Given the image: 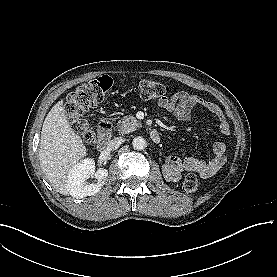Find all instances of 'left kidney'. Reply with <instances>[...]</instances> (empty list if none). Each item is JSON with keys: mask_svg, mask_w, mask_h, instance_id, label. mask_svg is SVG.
Here are the masks:
<instances>
[{"mask_svg": "<svg viewBox=\"0 0 277 277\" xmlns=\"http://www.w3.org/2000/svg\"><path fill=\"white\" fill-rule=\"evenodd\" d=\"M163 172L166 176H171L173 179L175 178L174 176H178L181 173L180 169L173 166L164 167Z\"/></svg>", "mask_w": 277, "mask_h": 277, "instance_id": "obj_1", "label": "left kidney"}]
</instances>
